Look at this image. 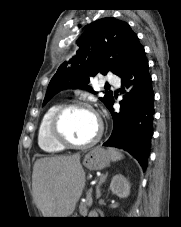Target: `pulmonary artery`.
Returning <instances> with one entry per match:
<instances>
[{
  "mask_svg": "<svg viewBox=\"0 0 181 227\" xmlns=\"http://www.w3.org/2000/svg\"><path fill=\"white\" fill-rule=\"evenodd\" d=\"M107 83L109 84H118L119 83V78L113 75H108L106 78Z\"/></svg>",
  "mask_w": 181,
  "mask_h": 227,
  "instance_id": "e3ab8cb5",
  "label": "pulmonary artery"
}]
</instances>
